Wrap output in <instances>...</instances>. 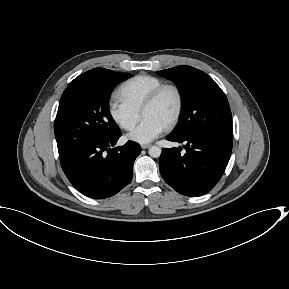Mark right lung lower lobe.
<instances>
[{
  "label": "right lung lower lobe",
  "instance_id": "obj_1",
  "mask_svg": "<svg viewBox=\"0 0 289 289\" xmlns=\"http://www.w3.org/2000/svg\"><path fill=\"white\" fill-rule=\"evenodd\" d=\"M120 136L121 131L107 140L60 157L65 175L85 196L94 199L111 197L130 183L133 164L141 148L132 141L114 147Z\"/></svg>",
  "mask_w": 289,
  "mask_h": 289
}]
</instances>
